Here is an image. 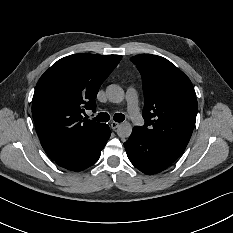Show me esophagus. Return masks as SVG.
<instances>
[{"instance_id":"obj_1","label":"esophagus","mask_w":233,"mask_h":233,"mask_svg":"<svg viewBox=\"0 0 233 233\" xmlns=\"http://www.w3.org/2000/svg\"><path fill=\"white\" fill-rule=\"evenodd\" d=\"M110 125H111V128L113 130H116L119 127L120 124L118 122L113 121V122L110 123Z\"/></svg>"}]
</instances>
